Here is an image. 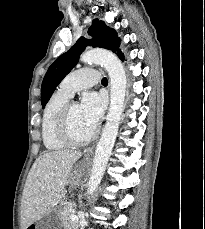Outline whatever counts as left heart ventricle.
<instances>
[{"mask_svg": "<svg viewBox=\"0 0 205 229\" xmlns=\"http://www.w3.org/2000/svg\"><path fill=\"white\" fill-rule=\"evenodd\" d=\"M94 126L90 124L83 116L80 106L74 105L70 111V129L75 138L83 139L87 137Z\"/></svg>", "mask_w": 205, "mask_h": 229, "instance_id": "obj_1", "label": "left heart ventricle"}]
</instances>
